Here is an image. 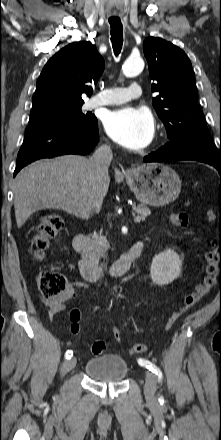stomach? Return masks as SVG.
<instances>
[{"label":"stomach","mask_w":221,"mask_h":440,"mask_svg":"<svg viewBox=\"0 0 221 440\" xmlns=\"http://www.w3.org/2000/svg\"><path fill=\"white\" fill-rule=\"evenodd\" d=\"M126 181L139 200L152 206H164L173 202L181 190L178 174L162 163L133 167L127 171Z\"/></svg>","instance_id":"1"}]
</instances>
